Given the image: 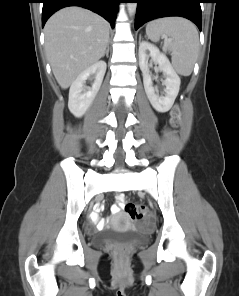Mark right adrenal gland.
<instances>
[{
	"instance_id": "obj_1",
	"label": "right adrenal gland",
	"mask_w": 239,
	"mask_h": 296,
	"mask_svg": "<svg viewBox=\"0 0 239 296\" xmlns=\"http://www.w3.org/2000/svg\"><path fill=\"white\" fill-rule=\"evenodd\" d=\"M105 55H106V57H108V55H109V43L107 44L106 51L102 57H104Z\"/></svg>"
}]
</instances>
